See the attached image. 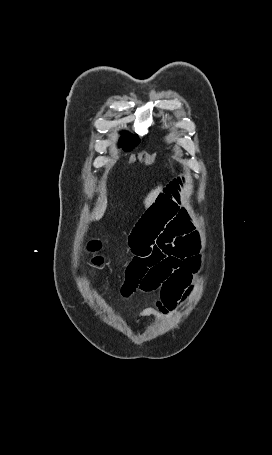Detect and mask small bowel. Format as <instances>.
I'll use <instances>...</instances> for the list:
<instances>
[{
	"label": "small bowel",
	"instance_id": "obj_1",
	"mask_svg": "<svg viewBox=\"0 0 272 455\" xmlns=\"http://www.w3.org/2000/svg\"><path fill=\"white\" fill-rule=\"evenodd\" d=\"M185 179H174L135 224L129 237L133 258L126 269L122 296L136 290L159 292L155 306L144 308L139 318L159 317L176 307L198 270V237L182 205Z\"/></svg>",
	"mask_w": 272,
	"mask_h": 455
}]
</instances>
